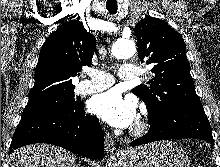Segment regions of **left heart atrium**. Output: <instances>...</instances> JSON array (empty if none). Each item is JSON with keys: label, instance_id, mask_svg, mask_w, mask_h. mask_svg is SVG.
Here are the masks:
<instances>
[{"label": "left heart atrium", "instance_id": "39dd6f15", "mask_svg": "<svg viewBox=\"0 0 220 167\" xmlns=\"http://www.w3.org/2000/svg\"><path fill=\"white\" fill-rule=\"evenodd\" d=\"M90 110L104 122L117 128L130 126L136 118V103L116 90H109L93 97Z\"/></svg>", "mask_w": 220, "mask_h": 167}]
</instances>
